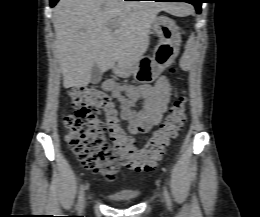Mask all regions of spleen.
<instances>
[{"label":"spleen","mask_w":260,"mask_h":217,"mask_svg":"<svg viewBox=\"0 0 260 217\" xmlns=\"http://www.w3.org/2000/svg\"><path fill=\"white\" fill-rule=\"evenodd\" d=\"M194 47H195V39H194V34L192 33L189 40L186 43L185 53L190 54L192 52V50L194 49Z\"/></svg>","instance_id":"1"}]
</instances>
